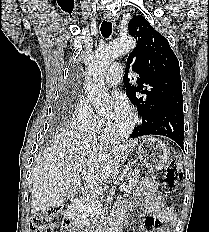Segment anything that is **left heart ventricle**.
Here are the masks:
<instances>
[{
    "instance_id": "obj_1",
    "label": "left heart ventricle",
    "mask_w": 209,
    "mask_h": 232,
    "mask_svg": "<svg viewBox=\"0 0 209 232\" xmlns=\"http://www.w3.org/2000/svg\"><path fill=\"white\" fill-rule=\"evenodd\" d=\"M105 117H106V120H107V123L110 129L115 130V131L123 130L124 128L127 127V125L130 122V117L128 113L120 117L114 118L113 113L108 111L105 114Z\"/></svg>"
}]
</instances>
